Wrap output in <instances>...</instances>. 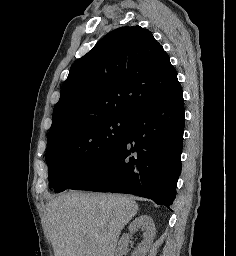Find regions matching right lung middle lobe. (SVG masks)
<instances>
[{
    "instance_id": "obj_1",
    "label": "right lung middle lobe",
    "mask_w": 236,
    "mask_h": 256,
    "mask_svg": "<svg viewBox=\"0 0 236 256\" xmlns=\"http://www.w3.org/2000/svg\"><path fill=\"white\" fill-rule=\"evenodd\" d=\"M132 122L130 118L99 119L75 124L48 136L49 186L55 192L66 190L121 144Z\"/></svg>"
}]
</instances>
